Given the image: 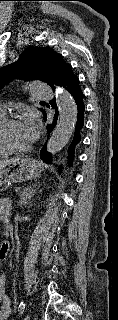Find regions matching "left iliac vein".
Here are the masks:
<instances>
[{
	"mask_svg": "<svg viewBox=\"0 0 118 320\" xmlns=\"http://www.w3.org/2000/svg\"><path fill=\"white\" fill-rule=\"evenodd\" d=\"M24 320H30V315H27Z\"/></svg>",
	"mask_w": 118,
	"mask_h": 320,
	"instance_id": "4c4485c4",
	"label": "left iliac vein"
}]
</instances>
